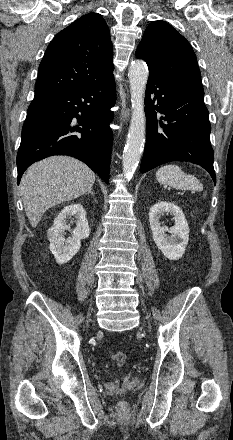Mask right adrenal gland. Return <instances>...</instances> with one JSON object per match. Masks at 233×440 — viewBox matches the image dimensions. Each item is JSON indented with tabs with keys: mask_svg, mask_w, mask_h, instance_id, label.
Here are the masks:
<instances>
[{
	"mask_svg": "<svg viewBox=\"0 0 233 440\" xmlns=\"http://www.w3.org/2000/svg\"><path fill=\"white\" fill-rule=\"evenodd\" d=\"M92 194V195H95V193L92 191V189H90L89 191H88V194Z\"/></svg>",
	"mask_w": 233,
	"mask_h": 440,
	"instance_id": "1",
	"label": "right adrenal gland"
}]
</instances>
